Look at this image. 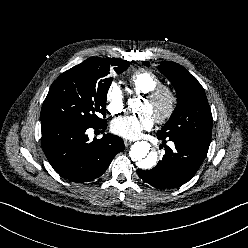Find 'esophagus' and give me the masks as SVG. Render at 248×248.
<instances>
[{
	"instance_id": "esophagus-1",
	"label": "esophagus",
	"mask_w": 248,
	"mask_h": 248,
	"mask_svg": "<svg viewBox=\"0 0 248 248\" xmlns=\"http://www.w3.org/2000/svg\"><path fill=\"white\" fill-rule=\"evenodd\" d=\"M131 141H129V140H127V139H125L124 140V145L126 146V147H128L129 145H131Z\"/></svg>"
}]
</instances>
